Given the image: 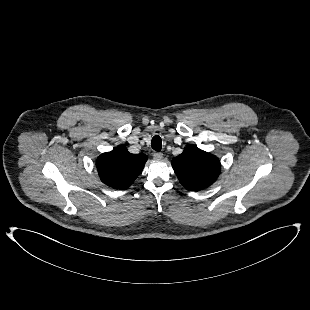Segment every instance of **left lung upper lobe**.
Instances as JSON below:
<instances>
[{"label":"left lung upper lobe","instance_id":"left-lung-upper-lobe-1","mask_svg":"<svg viewBox=\"0 0 310 310\" xmlns=\"http://www.w3.org/2000/svg\"><path fill=\"white\" fill-rule=\"evenodd\" d=\"M172 167L180 183L190 191H199L213 184L221 171L219 159L190 145L174 157Z\"/></svg>","mask_w":310,"mask_h":310}]
</instances>
